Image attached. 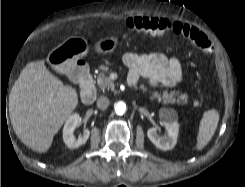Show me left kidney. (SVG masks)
Instances as JSON below:
<instances>
[{
  "mask_svg": "<svg viewBox=\"0 0 245 187\" xmlns=\"http://www.w3.org/2000/svg\"><path fill=\"white\" fill-rule=\"evenodd\" d=\"M162 126L165 129V135L158 134V127L148 129L147 136L150 141L160 150L167 151L174 148L177 143L179 132L177 112L170 108H162L159 111Z\"/></svg>",
  "mask_w": 245,
  "mask_h": 187,
  "instance_id": "left-kidney-1",
  "label": "left kidney"
}]
</instances>
